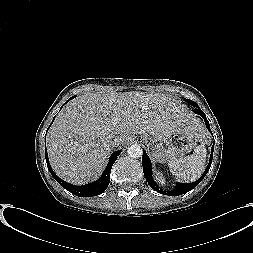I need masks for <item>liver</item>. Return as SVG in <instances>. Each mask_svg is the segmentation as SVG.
<instances>
[{"instance_id": "6515ba94", "label": "liver", "mask_w": 253, "mask_h": 253, "mask_svg": "<svg viewBox=\"0 0 253 253\" xmlns=\"http://www.w3.org/2000/svg\"><path fill=\"white\" fill-rule=\"evenodd\" d=\"M182 130L205 137L202 121L163 93L94 92L77 96L57 115L47 134L50 164L63 180L83 185L96 180L115 148L135 134L159 135Z\"/></svg>"}]
</instances>
